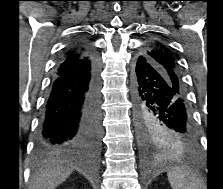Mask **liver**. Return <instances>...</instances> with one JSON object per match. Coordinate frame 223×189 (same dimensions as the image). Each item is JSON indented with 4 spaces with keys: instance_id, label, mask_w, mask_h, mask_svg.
Masks as SVG:
<instances>
[{
    "instance_id": "obj_1",
    "label": "liver",
    "mask_w": 223,
    "mask_h": 189,
    "mask_svg": "<svg viewBox=\"0 0 223 189\" xmlns=\"http://www.w3.org/2000/svg\"><path fill=\"white\" fill-rule=\"evenodd\" d=\"M72 173V169L63 166L52 167L36 172L30 183V189H55Z\"/></svg>"
}]
</instances>
